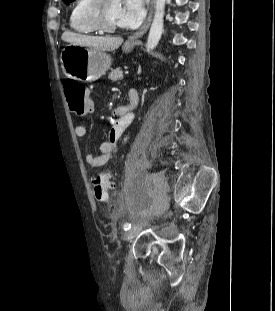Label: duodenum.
Here are the masks:
<instances>
[{
    "label": "duodenum",
    "mask_w": 275,
    "mask_h": 311,
    "mask_svg": "<svg viewBox=\"0 0 275 311\" xmlns=\"http://www.w3.org/2000/svg\"><path fill=\"white\" fill-rule=\"evenodd\" d=\"M129 100H130L131 105H132L133 107H135L136 104H137V100H136L134 97H132V96L129 97ZM116 109H117V110H124L125 108H124L123 106H119V107H117Z\"/></svg>",
    "instance_id": "obj_1"
}]
</instances>
